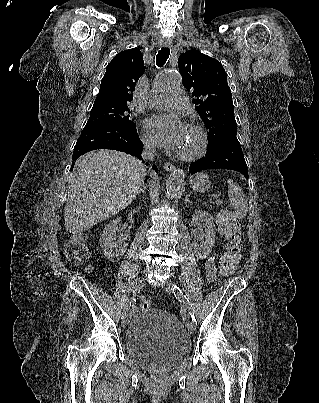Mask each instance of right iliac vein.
<instances>
[{
	"label": "right iliac vein",
	"instance_id": "63e3f726",
	"mask_svg": "<svg viewBox=\"0 0 319 403\" xmlns=\"http://www.w3.org/2000/svg\"><path fill=\"white\" fill-rule=\"evenodd\" d=\"M145 284V278L143 276L139 277L134 285L133 288V295H136L144 286ZM129 323V317H128V313H126L125 315L122 316V321L121 324L122 326L125 328Z\"/></svg>",
	"mask_w": 319,
	"mask_h": 403
}]
</instances>
